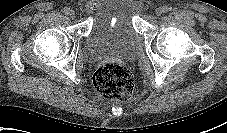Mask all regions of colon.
I'll use <instances>...</instances> for the list:
<instances>
[{"label":"colon","mask_w":227,"mask_h":133,"mask_svg":"<svg viewBox=\"0 0 227 133\" xmlns=\"http://www.w3.org/2000/svg\"><path fill=\"white\" fill-rule=\"evenodd\" d=\"M93 84L100 95L122 101L127 100L134 90L132 74L119 63L101 65L94 74Z\"/></svg>","instance_id":"obj_1"}]
</instances>
